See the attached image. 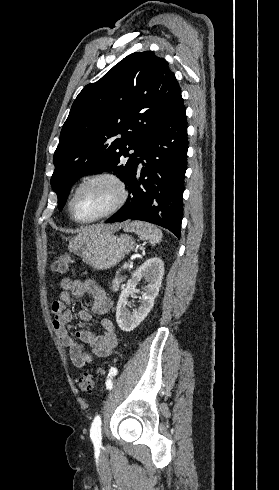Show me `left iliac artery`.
<instances>
[{"instance_id":"44dca946","label":"left iliac artery","mask_w":279,"mask_h":490,"mask_svg":"<svg viewBox=\"0 0 279 490\" xmlns=\"http://www.w3.org/2000/svg\"><path fill=\"white\" fill-rule=\"evenodd\" d=\"M117 374V369L114 367H111L109 374H108V379L106 381V387L107 389H112L113 383H112V378ZM90 437L92 439V442L94 444V447L96 449H99L101 447V418L99 415H97L92 423L91 429H90Z\"/></svg>"}]
</instances>
